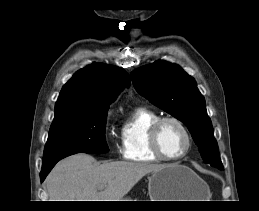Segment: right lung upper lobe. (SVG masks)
Returning <instances> with one entry per match:
<instances>
[{"mask_svg":"<svg viewBox=\"0 0 259 211\" xmlns=\"http://www.w3.org/2000/svg\"><path fill=\"white\" fill-rule=\"evenodd\" d=\"M130 84L128 74L106 64H91L79 71L63 86L55 105V116L82 108L109 109L121 89Z\"/></svg>","mask_w":259,"mask_h":211,"instance_id":"obj_1","label":"right lung upper lobe"}]
</instances>
